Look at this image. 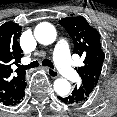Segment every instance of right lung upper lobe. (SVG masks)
<instances>
[{"mask_svg": "<svg viewBox=\"0 0 117 117\" xmlns=\"http://www.w3.org/2000/svg\"><path fill=\"white\" fill-rule=\"evenodd\" d=\"M22 27L14 22L0 26V102L11 95L17 84L25 80V72L17 70L13 74L12 64H17L23 56L18 39Z\"/></svg>", "mask_w": 117, "mask_h": 117, "instance_id": "1", "label": "right lung upper lobe"}]
</instances>
